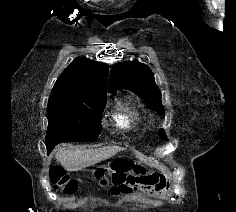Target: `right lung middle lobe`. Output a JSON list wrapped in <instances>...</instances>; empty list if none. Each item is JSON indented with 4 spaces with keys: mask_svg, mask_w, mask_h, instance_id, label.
<instances>
[{
    "mask_svg": "<svg viewBox=\"0 0 236 212\" xmlns=\"http://www.w3.org/2000/svg\"><path fill=\"white\" fill-rule=\"evenodd\" d=\"M107 99L90 104L48 103L46 146L50 152L61 142L95 141L101 133V115Z\"/></svg>",
    "mask_w": 236,
    "mask_h": 212,
    "instance_id": "right-lung-middle-lobe-1",
    "label": "right lung middle lobe"
}]
</instances>
